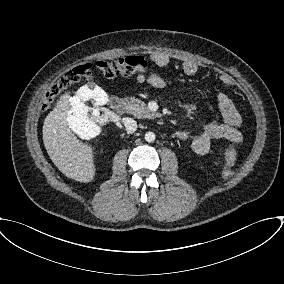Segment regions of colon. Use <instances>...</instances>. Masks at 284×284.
Returning <instances> with one entry per match:
<instances>
[{
    "instance_id": "colon-1",
    "label": "colon",
    "mask_w": 284,
    "mask_h": 284,
    "mask_svg": "<svg viewBox=\"0 0 284 284\" xmlns=\"http://www.w3.org/2000/svg\"><path fill=\"white\" fill-rule=\"evenodd\" d=\"M147 61L143 56H126L113 60L97 61L95 63H86L79 65L59 78L47 91L43 107L48 108L57 95L71 85L88 78L93 69L99 70L105 77L114 78L118 76H130L145 70ZM237 144L230 142L226 153L225 166L223 168V176L229 177L235 172L237 161Z\"/></svg>"
}]
</instances>
